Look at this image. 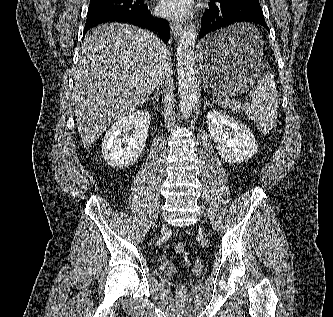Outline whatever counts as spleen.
I'll return each instance as SVG.
<instances>
[{
	"label": "spleen",
	"mask_w": 333,
	"mask_h": 317,
	"mask_svg": "<svg viewBox=\"0 0 333 317\" xmlns=\"http://www.w3.org/2000/svg\"><path fill=\"white\" fill-rule=\"evenodd\" d=\"M258 35L260 36L258 30L252 27L248 38L255 42ZM249 97L250 103L239 106V109L245 111L257 128L266 134L273 128L278 115V93L273 75L267 72L258 85L250 91Z\"/></svg>",
	"instance_id": "obj_1"
}]
</instances>
